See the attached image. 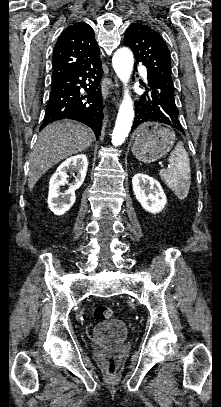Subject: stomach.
I'll return each mask as SVG.
<instances>
[{
  "label": "stomach",
  "instance_id": "obj_1",
  "mask_svg": "<svg viewBox=\"0 0 221 407\" xmlns=\"http://www.w3.org/2000/svg\"><path fill=\"white\" fill-rule=\"evenodd\" d=\"M175 138L173 129L147 122L136 130L132 152L144 163L155 162L171 150Z\"/></svg>",
  "mask_w": 221,
  "mask_h": 407
}]
</instances>
